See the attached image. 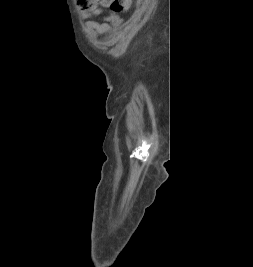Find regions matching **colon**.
Wrapping results in <instances>:
<instances>
[{
	"mask_svg": "<svg viewBox=\"0 0 253 267\" xmlns=\"http://www.w3.org/2000/svg\"><path fill=\"white\" fill-rule=\"evenodd\" d=\"M76 4L83 11H90L98 6H103L119 12L128 9L131 0H76Z\"/></svg>",
	"mask_w": 253,
	"mask_h": 267,
	"instance_id": "colon-1",
	"label": "colon"
}]
</instances>
